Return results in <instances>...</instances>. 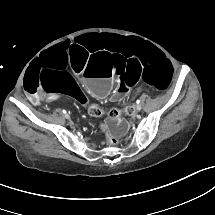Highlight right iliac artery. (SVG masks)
Returning a JSON list of instances; mask_svg holds the SVG:
<instances>
[{
	"label": "right iliac artery",
	"mask_w": 215,
	"mask_h": 215,
	"mask_svg": "<svg viewBox=\"0 0 215 215\" xmlns=\"http://www.w3.org/2000/svg\"><path fill=\"white\" fill-rule=\"evenodd\" d=\"M63 113L66 114V113H67L66 110H63ZM66 115H67V114H66Z\"/></svg>",
	"instance_id": "obj_1"
}]
</instances>
